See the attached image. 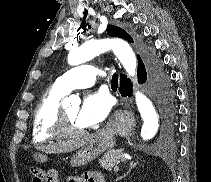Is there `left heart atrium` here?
I'll return each mask as SVG.
<instances>
[{
    "mask_svg": "<svg viewBox=\"0 0 211 182\" xmlns=\"http://www.w3.org/2000/svg\"><path fill=\"white\" fill-rule=\"evenodd\" d=\"M110 97L103 91L88 93L77 114V121L83 127L95 126L103 121L110 111Z\"/></svg>",
    "mask_w": 211,
    "mask_h": 182,
    "instance_id": "1",
    "label": "left heart atrium"
}]
</instances>
